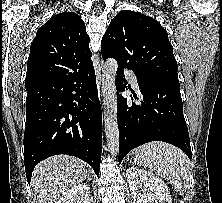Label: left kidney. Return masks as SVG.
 Returning <instances> with one entry per match:
<instances>
[{
	"label": "left kidney",
	"instance_id": "left-kidney-1",
	"mask_svg": "<svg viewBox=\"0 0 222 203\" xmlns=\"http://www.w3.org/2000/svg\"><path fill=\"white\" fill-rule=\"evenodd\" d=\"M126 176L135 203H172L167 185L158 176L135 166L127 169Z\"/></svg>",
	"mask_w": 222,
	"mask_h": 203
}]
</instances>
